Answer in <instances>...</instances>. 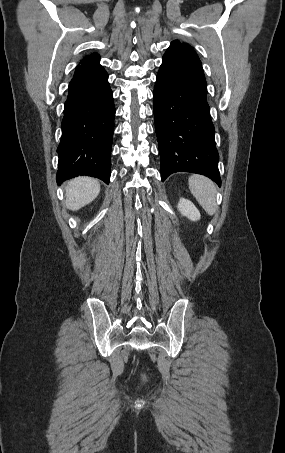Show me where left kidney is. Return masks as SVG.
<instances>
[{
  "label": "left kidney",
  "instance_id": "obj_1",
  "mask_svg": "<svg viewBox=\"0 0 285 453\" xmlns=\"http://www.w3.org/2000/svg\"><path fill=\"white\" fill-rule=\"evenodd\" d=\"M178 209L183 216L187 217L191 221L200 220V212L190 200L180 198Z\"/></svg>",
  "mask_w": 285,
  "mask_h": 453
}]
</instances>
